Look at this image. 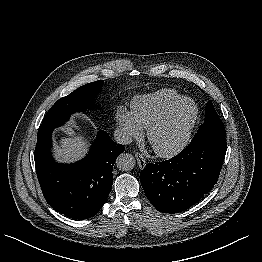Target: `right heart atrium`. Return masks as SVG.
Instances as JSON below:
<instances>
[{"mask_svg":"<svg viewBox=\"0 0 262 262\" xmlns=\"http://www.w3.org/2000/svg\"><path fill=\"white\" fill-rule=\"evenodd\" d=\"M117 131L124 142L138 139L142 136L143 130L134 119L131 112L124 107H119L116 115Z\"/></svg>","mask_w":262,"mask_h":262,"instance_id":"obj_1","label":"right heart atrium"}]
</instances>
